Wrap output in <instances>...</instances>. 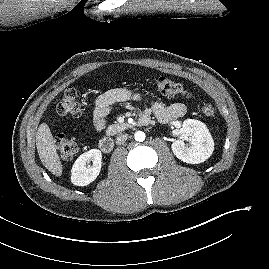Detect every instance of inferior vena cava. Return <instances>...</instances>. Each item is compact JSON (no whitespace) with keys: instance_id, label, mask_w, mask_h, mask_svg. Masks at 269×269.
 <instances>
[{"instance_id":"602c4592","label":"inferior vena cava","mask_w":269,"mask_h":269,"mask_svg":"<svg viewBox=\"0 0 269 269\" xmlns=\"http://www.w3.org/2000/svg\"><path fill=\"white\" fill-rule=\"evenodd\" d=\"M128 138V134H121L116 138V144L120 145L125 143Z\"/></svg>"}]
</instances>
